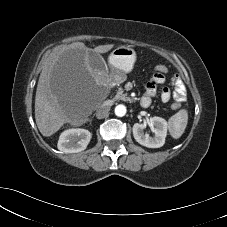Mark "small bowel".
I'll list each match as a JSON object with an SVG mask.
<instances>
[{
    "instance_id": "c3829d8e",
    "label": "small bowel",
    "mask_w": 227,
    "mask_h": 227,
    "mask_svg": "<svg viewBox=\"0 0 227 227\" xmlns=\"http://www.w3.org/2000/svg\"><path fill=\"white\" fill-rule=\"evenodd\" d=\"M165 82V77L161 73L154 72L151 79L145 84V94L141 98V106L148 107L151 104L152 98L157 93V86ZM174 86V99L176 102H184L186 99V88L182 80L178 76H174L171 80ZM171 98V91L168 87H164L161 92L163 102H168Z\"/></svg>"
}]
</instances>
